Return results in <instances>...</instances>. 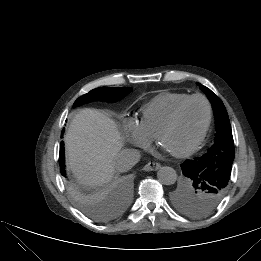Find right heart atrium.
<instances>
[{
    "label": "right heart atrium",
    "instance_id": "right-heart-atrium-1",
    "mask_svg": "<svg viewBox=\"0 0 261 261\" xmlns=\"http://www.w3.org/2000/svg\"><path fill=\"white\" fill-rule=\"evenodd\" d=\"M126 128L129 134V138L133 144L144 149L148 148L151 145L153 138L147 136L140 129L138 124L134 122H127Z\"/></svg>",
    "mask_w": 261,
    "mask_h": 261
}]
</instances>
